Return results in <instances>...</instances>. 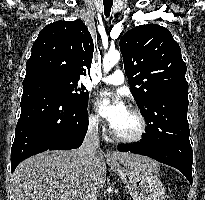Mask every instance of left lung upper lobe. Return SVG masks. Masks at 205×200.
I'll return each mask as SVG.
<instances>
[{
	"label": "left lung upper lobe",
	"instance_id": "1",
	"mask_svg": "<svg viewBox=\"0 0 205 200\" xmlns=\"http://www.w3.org/2000/svg\"><path fill=\"white\" fill-rule=\"evenodd\" d=\"M125 73L147 129L166 110L156 111L154 98L173 90L188 91L186 64L179 44L165 27L148 24L129 30L120 39ZM146 129V131H147Z\"/></svg>",
	"mask_w": 205,
	"mask_h": 200
}]
</instances>
